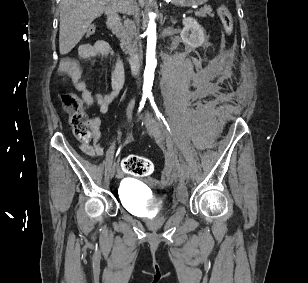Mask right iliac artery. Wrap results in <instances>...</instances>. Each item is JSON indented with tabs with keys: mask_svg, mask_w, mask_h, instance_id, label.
<instances>
[{
	"mask_svg": "<svg viewBox=\"0 0 308 283\" xmlns=\"http://www.w3.org/2000/svg\"><path fill=\"white\" fill-rule=\"evenodd\" d=\"M146 97H147V95H143L142 100H141V102H140L139 110H141V109L144 107ZM119 151H120V148L118 149V151H117V153H116V157H117V155L119 154Z\"/></svg>",
	"mask_w": 308,
	"mask_h": 283,
	"instance_id": "82829eb1",
	"label": "right iliac artery"
}]
</instances>
